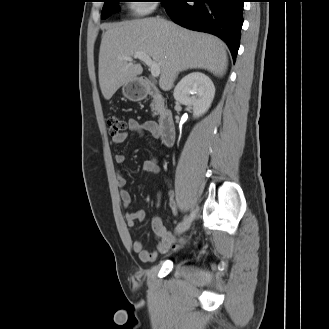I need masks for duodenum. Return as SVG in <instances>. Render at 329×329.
Segmentation results:
<instances>
[{"instance_id":"1","label":"duodenum","mask_w":329,"mask_h":329,"mask_svg":"<svg viewBox=\"0 0 329 329\" xmlns=\"http://www.w3.org/2000/svg\"><path fill=\"white\" fill-rule=\"evenodd\" d=\"M144 88L147 95L154 97L158 104L159 136L166 146H171L175 141L176 135L173 114L170 110L164 107L163 98L158 93L152 80L146 79Z\"/></svg>"}]
</instances>
